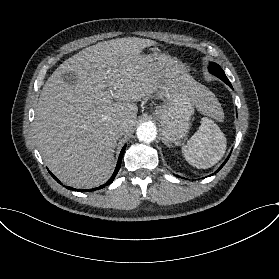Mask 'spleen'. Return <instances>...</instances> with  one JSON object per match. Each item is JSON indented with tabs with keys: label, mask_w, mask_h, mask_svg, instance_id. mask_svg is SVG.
Instances as JSON below:
<instances>
[{
	"label": "spleen",
	"mask_w": 279,
	"mask_h": 279,
	"mask_svg": "<svg viewBox=\"0 0 279 279\" xmlns=\"http://www.w3.org/2000/svg\"><path fill=\"white\" fill-rule=\"evenodd\" d=\"M197 108L203 114L217 122L224 121V114L220 103L211 92L202 88ZM226 150V139L213 121L207 118L200 120L197 131L181 145L184 158L197 168H209L217 163Z\"/></svg>",
	"instance_id": "spleen-1"
}]
</instances>
